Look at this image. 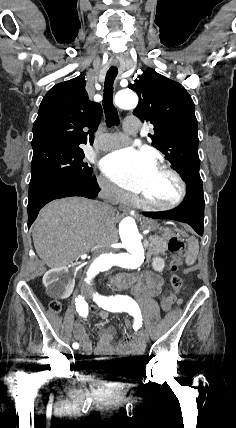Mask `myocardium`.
<instances>
[{"instance_id":"myocardium-1","label":"myocardium","mask_w":236,"mask_h":428,"mask_svg":"<svg viewBox=\"0 0 236 428\" xmlns=\"http://www.w3.org/2000/svg\"><path fill=\"white\" fill-rule=\"evenodd\" d=\"M155 169H162L175 179L178 184V194L174 200L166 204L154 202L142 195H140V201L144 205L159 211H169L179 207L185 201L188 194V188L185 178L167 161H161L159 163H156Z\"/></svg>"}]
</instances>
